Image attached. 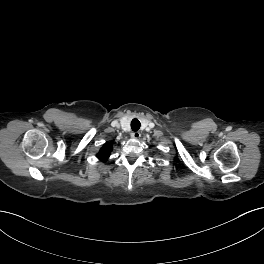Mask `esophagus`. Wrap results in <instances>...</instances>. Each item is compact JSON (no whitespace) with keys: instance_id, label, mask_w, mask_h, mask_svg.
Here are the masks:
<instances>
[{"instance_id":"1","label":"esophagus","mask_w":264,"mask_h":264,"mask_svg":"<svg viewBox=\"0 0 264 264\" xmlns=\"http://www.w3.org/2000/svg\"><path fill=\"white\" fill-rule=\"evenodd\" d=\"M140 135H141V134H140V132H138V131H134V132L131 133V137H132V138H135V139L139 138Z\"/></svg>"}]
</instances>
